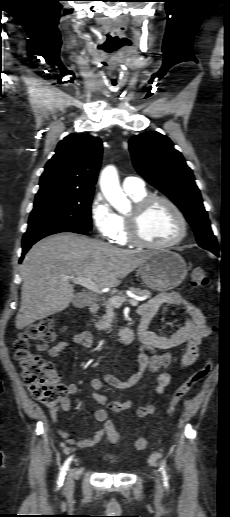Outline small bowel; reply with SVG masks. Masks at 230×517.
Masks as SVG:
<instances>
[{"label":"small bowel","instance_id":"small-bowel-1","mask_svg":"<svg viewBox=\"0 0 230 517\" xmlns=\"http://www.w3.org/2000/svg\"><path fill=\"white\" fill-rule=\"evenodd\" d=\"M163 305L183 306L186 311V318L183 325L170 336L145 331L140 340L142 347L138 354V370L126 380L118 379L108 372H103L100 377L93 378L90 381V386L94 391L100 390L104 384L116 389L131 388L142 379L146 372H149L151 374L158 373L155 392L157 395H162L172 381V375L168 370L171 364V349L186 344L187 348L181 359V368L183 370L189 369L197 361L202 340L212 334V329L207 325L205 316L196 305L177 292H165L155 295L152 299L139 307V313L146 312L153 316ZM94 343L95 337L90 332L83 331L74 334L69 341L58 342L51 348H48V345L45 343H40L37 345V350L39 352L47 351L51 358L62 362L61 353L70 345L75 344L84 349H88L91 348ZM67 390L69 394L77 393L79 390L78 384L70 383L67 386ZM92 398L102 406L94 411V418L96 421L104 423V427L87 439H76L71 433L59 429V434L70 445H75L79 448L96 445L106 435L108 436V426L112 424L107 419L108 411L119 413L122 411H130L132 407L130 400L109 401L105 396L97 392L92 394ZM70 409L71 402L69 398L62 399L59 407L51 410L52 422L58 425L59 410L68 412ZM154 411L155 404L148 402L138 407L133 414L137 417H145Z\"/></svg>","mask_w":230,"mask_h":517}]
</instances>
